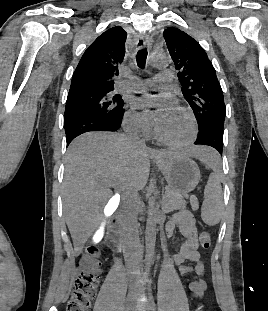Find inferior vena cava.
Masks as SVG:
<instances>
[{
	"label": "inferior vena cava",
	"mask_w": 268,
	"mask_h": 311,
	"mask_svg": "<svg viewBox=\"0 0 268 311\" xmlns=\"http://www.w3.org/2000/svg\"><path fill=\"white\" fill-rule=\"evenodd\" d=\"M131 141L133 139L128 137ZM144 147L143 145H140ZM138 199L137 192H128L124 196L123 208L121 211V227L123 232V244L125 246L124 259L128 268H133V274H138L140 257L136 252L139 246V234L137 224L136 202ZM131 287L136 288L135 280L131 281Z\"/></svg>",
	"instance_id": "1"
}]
</instances>
